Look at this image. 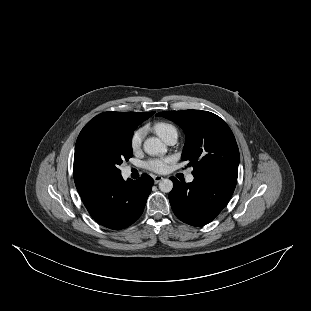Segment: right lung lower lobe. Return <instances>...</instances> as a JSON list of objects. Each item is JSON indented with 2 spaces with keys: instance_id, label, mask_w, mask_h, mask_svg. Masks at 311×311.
Masks as SVG:
<instances>
[{
  "instance_id": "right-lung-lower-lobe-1",
  "label": "right lung lower lobe",
  "mask_w": 311,
  "mask_h": 311,
  "mask_svg": "<svg viewBox=\"0 0 311 311\" xmlns=\"http://www.w3.org/2000/svg\"><path fill=\"white\" fill-rule=\"evenodd\" d=\"M153 183L147 174L126 182L119 176L90 182L78 192L94 220L104 227L120 230L141 216Z\"/></svg>"
}]
</instances>
